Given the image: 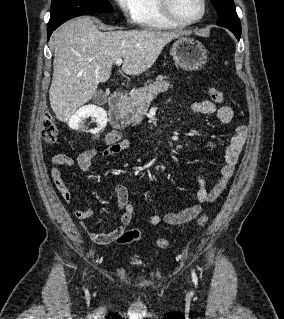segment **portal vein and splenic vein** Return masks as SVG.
<instances>
[{
	"instance_id": "obj_1",
	"label": "portal vein and splenic vein",
	"mask_w": 284,
	"mask_h": 319,
	"mask_svg": "<svg viewBox=\"0 0 284 319\" xmlns=\"http://www.w3.org/2000/svg\"><path fill=\"white\" fill-rule=\"evenodd\" d=\"M115 63H116L117 66H120L123 63V60L122 59H116Z\"/></svg>"
}]
</instances>
